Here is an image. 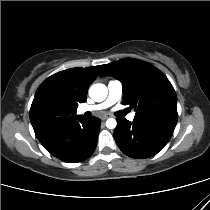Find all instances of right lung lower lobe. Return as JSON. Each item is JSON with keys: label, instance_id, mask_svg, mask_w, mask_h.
<instances>
[{"label": "right lung lower lobe", "instance_id": "1", "mask_svg": "<svg viewBox=\"0 0 210 210\" xmlns=\"http://www.w3.org/2000/svg\"><path fill=\"white\" fill-rule=\"evenodd\" d=\"M100 123L101 120L96 117L75 115L36 136L53 156L67 163H77L93 154Z\"/></svg>", "mask_w": 210, "mask_h": 210}]
</instances>
